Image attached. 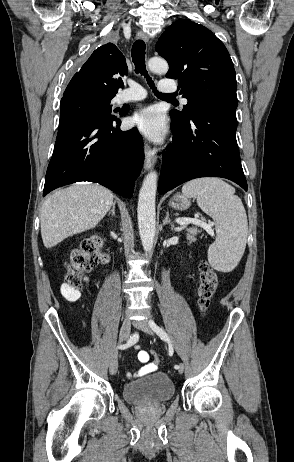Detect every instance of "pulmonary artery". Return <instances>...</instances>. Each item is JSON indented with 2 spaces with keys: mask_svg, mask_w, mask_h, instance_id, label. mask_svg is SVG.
<instances>
[{
  "mask_svg": "<svg viewBox=\"0 0 294 462\" xmlns=\"http://www.w3.org/2000/svg\"><path fill=\"white\" fill-rule=\"evenodd\" d=\"M129 87L119 95L120 102L139 101L147 96V91L138 83L129 81ZM159 90L163 93L170 94L176 91V85L169 83L168 79H163L159 84ZM182 103L186 104L187 99L182 98Z\"/></svg>",
  "mask_w": 294,
  "mask_h": 462,
  "instance_id": "pulmonary-artery-1",
  "label": "pulmonary artery"
}]
</instances>
